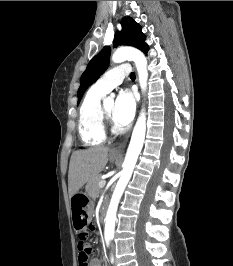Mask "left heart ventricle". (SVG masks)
<instances>
[{
  "label": "left heart ventricle",
  "instance_id": "1",
  "mask_svg": "<svg viewBox=\"0 0 233 266\" xmlns=\"http://www.w3.org/2000/svg\"><path fill=\"white\" fill-rule=\"evenodd\" d=\"M105 110L108 113L110 117L113 116L114 108H115V102L114 101H107L104 104Z\"/></svg>",
  "mask_w": 233,
  "mask_h": 266
}]
</instances>
